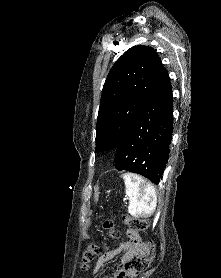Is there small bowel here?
Listing matches in <instances>:
<instances>
[{
	"instance_id": "small-bowel-1",
	"label": "small bowel",
	"mask_w": 221,
	"mask_h": 278,
	"mask_svg": "<svg viewBox=\"0 0 221 278\" xmlns=\"http://www.w3.org/2000/svg\"><path fill=\"white\" fill-rule=\"evenodd\" d=\"M128 235L130 240L121 243L119 247L102 254L97 259L93 268V274H96L105 264L111 262L120 253H122L121 266H124L128 261L142 253L144 245L140 241L139 235L131 230L128 231ZM107 278H118V273L112 274Z\"/></svg>"
}]
</instances>
